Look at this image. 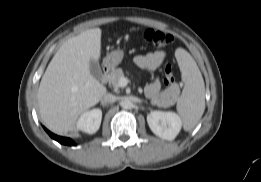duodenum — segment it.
<instances>
[{
	"mask_svg": "<svg viewBox=\"0 0 261 182\" xmlns=\"http://www.w3.org/2000/svg\"><path fill=\"white\" fill-rule=\"evenodd\" d=\"M109 72H110L109 66H104L103 67V76H102V81L103 82L107 81Z\"/></svg>",
	"mask_w": 261,
	"mask_h": 182,
	"instance_id": "duodenum-1",
	"label": "duodenum"
}]
</instances>
